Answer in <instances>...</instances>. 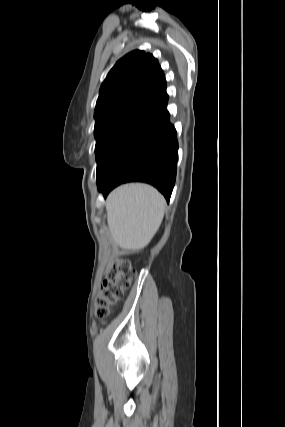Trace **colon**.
<instances>
[{"instance_id": "5ec220e1", "label": "colon", "mask_w": 285, "mask_h": 427, "mask_svg": "<svg viewBox=\"0 0 285 427\" xmlns=\"http://www.w3.org/2000/svg\"><path fill=\"white\" fill-rule=\"evenodd\" d=\"M134 276L135 272L128 262L112 263L95 298V314L98 319L105 321L108 318L111 307L123 297Z\"/></svg>"}]
</instances>
